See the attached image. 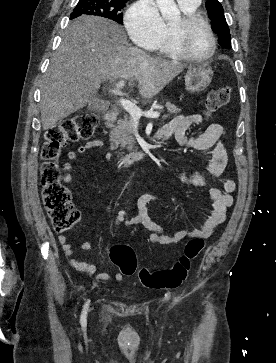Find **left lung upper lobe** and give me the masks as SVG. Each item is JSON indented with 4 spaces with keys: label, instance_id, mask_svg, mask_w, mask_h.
I'll list each match as a JSON object with an SVG mask.
<instances>
[{
    "label": "left lung upper lobe",
    "instance_id": "5c2ea615",
    "mask_svg": "<svg viewBox=\"0 0 276 363\" xmlns=\"http://www.w3.org/2000/svg\"><path fill=\"white\" fill-rule=\"evenodd\" d=\"M206 8L212 20V30L219 36V44L229 49L231 47V36L222 5L218 0H208L206 2Z\"/></svg>",
    "mask_w": 276,
    "mask_h": 363
}]
</instances>
